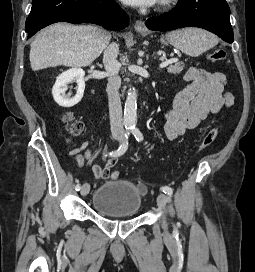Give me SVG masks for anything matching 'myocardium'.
Listing matches in <instances>:
<instances>
[{
    "label": "myocardium",
    "instance_id": "1",
    "mask_svg": "<svg viewBox=\"0 0 255 272\" xmlns=\"http://www.w3.org/2000/svg\"><path fill=\"white\" fill-rule=\"evenodd\" d=\"M177 0H160L159 2V8L165 9L170 7L173 3H175Z\"/></svg>",
    "mask_w": 255,
    "mask_h": 272
}]
</instances>
